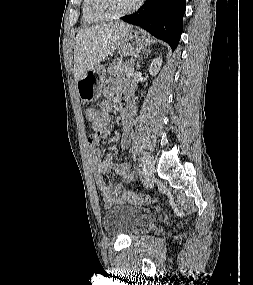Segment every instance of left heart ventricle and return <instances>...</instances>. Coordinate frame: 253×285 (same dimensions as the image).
<instances>
[{
  "mask_svg": "<svg viewBox=\"0 0 253 285\" xmlns=\"http://www.w3.org/2000/svg\"><path fill=\"white\" fill-rule=\"evenodd\" d=\"M136 0H101V7L108 13H118L130 8Z\"/></svg>",
  "mask_w": 253,
  "mask_h": 285,
  "instance_id": "1",
  "label": "left heart ventricle"
}]
</instances>
